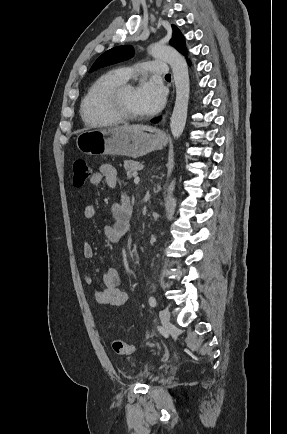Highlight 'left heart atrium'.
<instances>
[{
	"instance_id": "39dd6f15",
	"label": "left heart atrium",
	"mask_w": 287,
	"mask_h": 434,
	"mask_svg": "<svg viewBox=\"0 0 287 434\" xmlns=\"http://www.w3.org/2000/svg\"><path fill=\"white\" fill-rule=\"evenodd\" d=\"M136 98L145 114H154L163 107L166 90L155 80L145 81L136 89Z\"/></svg>"
}]
</instances>
